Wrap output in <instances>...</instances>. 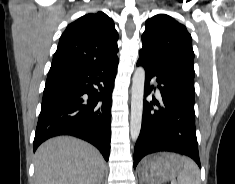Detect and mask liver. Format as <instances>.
<instances>
[{
  "mask_svg": "<svg viewBox=\"0 0 235 184\" xmlns=\"http://www.w3.org/2000/svg\"><path fill=\"white\" fill-rule=\"evenodd\" d=\"M35 184H101L104 160L91 144L58 136L35 154Z\"/></svg>",
  "mask_w": 235,
  "mask_h": 184,
  "instance_id": "1",
  "label": "liver"
}]
</instances>
